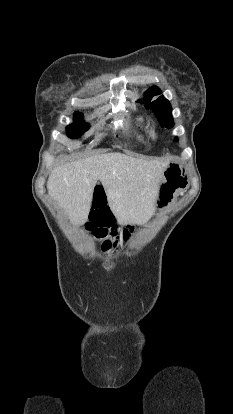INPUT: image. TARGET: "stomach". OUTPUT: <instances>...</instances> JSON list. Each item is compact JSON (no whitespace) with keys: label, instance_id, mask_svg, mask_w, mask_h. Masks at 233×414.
Returning a JSON list of instances; mask_svg holds the SVG:
<instances>
[{"label":"stomach","instance_id":"1","mask_svg":"<svg viewBox=\"0 0 233 414\" xmlns=\"http://www.w3.org/2000/svg\"><path fill=\"white\" fill-rule=\"evenodd\" d=\"M188 186V174L186 168L177 159H170L163 172L162 181L159 184L155 207L163 208L182 190Z\"/></svg>","mask_w":233,"mask_h":414}]
</instances>
